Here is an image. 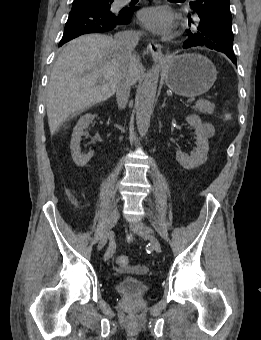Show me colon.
Instances as JSON below:
<instances>
[{
  "label": "colon",
  "instance_id": "5ec220e1",
  "mask_svg": "<svg viewBox=\"0 0 261 340\" xmlns=\"http://www.w3.org/2000/svg\"><path fill=\"white\" fill-rule=\"evenodd\" d=\"M129 266V258L125 255H120L115 259L114 268L118 271H124Z\"/></svg>",
  "mask_w": 261,
  "mask_h": 340
}]
</instances>
